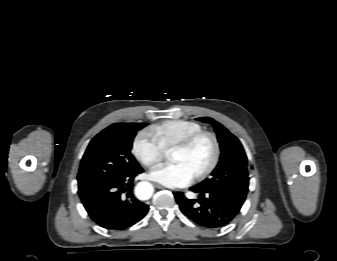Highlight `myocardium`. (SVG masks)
<instances>
[{"instance_id": "1", "label": "myocardium", "mask_w": 337, "mask_h": 261, "mask_svg": "<svg viewBox=\"0 0 337 261\" xmlns=\"http://www.w3.org/2000/svg\"><path fill=\"white\" fill-rule=\"evenodd\" d=\"M204 137H208V138L211 139V141L213 143L214 151H213V157H212V160H211L210 164L203 171L194 175V178L197 179V180H201V179H204L207 176H209L216 169V167L219 163L220 156H221V144H220V140H219L218 136L211 131L202 130V131H199L197 133H194V134L190 135L189 137H187L185 140H183L181 143H179L173 149L174 151L189 150L200 139H202Z\"/></svg>"}]
</instances>
